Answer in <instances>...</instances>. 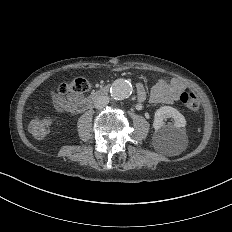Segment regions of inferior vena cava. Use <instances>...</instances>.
<instances>
[{
    "label": "inferior vena cava",
    "instance_id": "obj_1",
    "mask_svg": "<svg viewBox=\"0 0 232 232\" xmlns=\"http://www.w3.org/2000/svg\"><path fill=\"white\" fill-rule=\"evenodd\" d=\"M96 102L101 107H105L109 103V98L107 96H100L97 98Z\"/></svg>",
    "mask_w": 232,
    "mask_h": 232
}]
</instances>
